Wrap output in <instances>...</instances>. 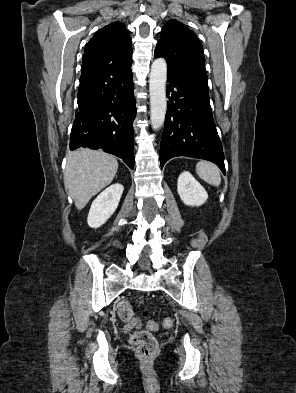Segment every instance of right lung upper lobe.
<instances>
[{"label": "right lung upper lobe", "instance_id": "obj_1", "mask_svg": "<svg viewBox=\"0 0 296 393\" xmlns=\"http://www.w3.org/2000/svg\"><path fill=\"white\" fill-rule=\"evenodd\" d=\"M132 60V41L124 24L113 22L89 40L85 46L83 63H121Z\"/></svg>", "mask_w": 296, "mask_h": 393}]
</instances>
